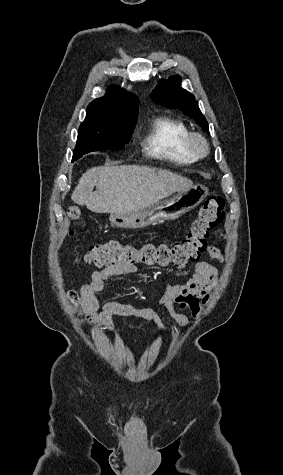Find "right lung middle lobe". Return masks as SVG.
Here are the masks:
<instances>
[{
  "label": "right lung middle lobe",
  "mask_w": 283,
  "mask_h": 475,
  "mask_svg": "<svg viewBox=\"0 0 283 475\" xmlns=\"http://www.w3.org/2000/svg\"><path fill=\"white\" fill-rule=\"evenodd\" d=\"M138 116V105L88 106L78 131L73 160L98 150H120L129 142Z\"/></svg>",
  "instance_id": "right-lung-middle-lobe-1"
}]
</instances>
